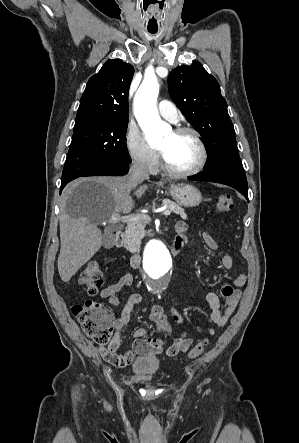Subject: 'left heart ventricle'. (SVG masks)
Masks as SVG:
<instances>
[{
	"label": "left heart ventricle",
	"mask_w": 299,
	"mask_h": 443,
	"mask_svg": "<svg viewBox=\"0 0 299 443\" xmlns=\"http://www.w3.org/2000/svg\"><path fill=\"white\" fill-rule=\"evenodd\" d=\"M166 164L175 170H187L195 165L199 157L196 141L190 134L170 132L158 145Z\"/></svg>",
	"instance_id": "b2bd125f"
}]
</instances>
